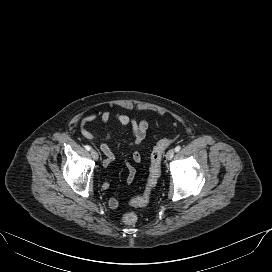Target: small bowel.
<instances>
[{"label": "small bowel", "instance_id": "obj_1", "mask_svg": "<svg viewBox=\"0 0 272 272\" xmlns=\"http://www.w3.org/2000/svg\"><path fill=\"white\" fill-rule=\"evenodd\" d=\"M115 118L122 126L129 129L130 138H129V145L134 148L132 152V161L134 163L141 162V154L136 149V147L142 144L146 138L147 129L149 127V123L145 118L136 119L133 116H130L125 113L116 112L107 110L104 111L100 115L101 122L108 127L111 118ZM98 118L97 113H91L84 117L80 122V134L82 137L91 140V141H98L99 147L104 155L103 163L105 166H108L114 160V153L112 149L107 144V141L111 138V132L107 129L106 134L103 138L96 137L93 133H91L86 127L89 123L95 121ZM125 167L127 170V178L126 181L128 184L133 183L136 177V169L132 162L125 161ZM109 182L105 181L102 184V188L104 190L108 189ZM119 206V202L116 198H111L109 200V207L111 209H116Z\"/></svg>", "mask_w": 272, "mask_h": 272}]
</instances>
